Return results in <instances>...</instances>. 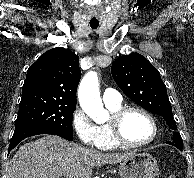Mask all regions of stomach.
I'll return each instance as SVG.
<instances>
[{
	"label": "stomach",
	"instance_id": "stomach-1",
	"mask_svg": "<svg viewBox=\"0 0 194 178\" xmlns=\"http://www.w3.org/2000/svg\"><path fill=\"white\" fill-rule=\"evenodd\" d=\"M158 171L156 159L148 153H134L119 166L121 178H155Z\"/></svg>",
	"mask_w": 194,
	"mask_h": 178
}]
</instances>
